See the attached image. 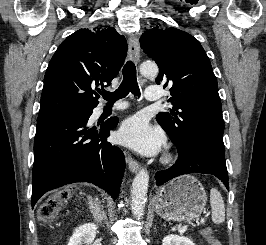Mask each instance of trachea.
<instances>
[{"instance_id":"obj_1","label":"trachea","mask_w":266,"mask_h":245,"mask_svg":"<svg viewBox=\"0 0 266 245\" xmlns=\"http://www.w3.org/2000/svg\"><path fill=\"white\" fill-rule=\"evenodd\" d=\"M123 81L115 92L102 93V97L110 103L126 97L129 92L136 96L140 95L139 86L137 83L136 68L133 62H127L123 68Z\"/></svg>"}]
</instances>
